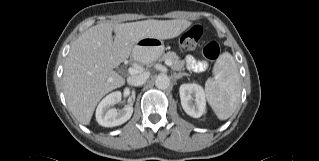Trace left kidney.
<instances>
[{
  "label": "left kidney",
  "instance_id": "5707ae66",
  "mask_svg": "<svg viewBox=\"0 0 319 161\" xmlns=\"http://www.w3.org/2000/svg\"><path fill=\"white\" fill-rule=\"evenodd\" d=\"M179 93L181 105L189 116L199 118L205 113V93L200 85L182 84Z\"/></svg>",
  "mask_w": 319,
  "mask_h": 161
}]
</instances>
